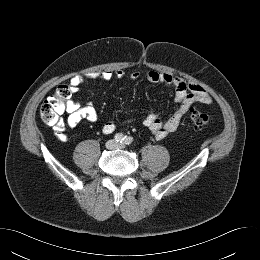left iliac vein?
Wrapping results in <instances>:
<instances>
[{
	"label": "left iliac vein",
	"instance_id": "left-iliac-vein-1",
	"mask_svg": "<svg viewBox=\"0 0 260 260\" xmlns=\"http://www.w3.org/2000/svg\"><path fill=\"white\" fill-rule=\"evenodd\" d=\"M117 147L122 149V148H124V144H118Z\"/></svg>",
	"mask_w": 260,
	"mask_h": 260
}]
</instances>
